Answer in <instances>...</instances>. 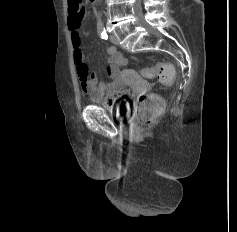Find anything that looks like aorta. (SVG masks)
Listing matches in <instances>:
<instances>
[{
	"label": "aorta",
	"mask_w": 237,
	"mask_h": 232,
	"mask_svg": "<svg viewBox=\"0 0 237 232\" xmlns=\"http://www.w3.org/2000/svg\"><path fill=\"white\" fill-rule=\"evenodd\" d=\"M101 19V16L99 15V20Z\"/></svg>",
	"instance_id": "aorta-1"
}]
</instances>
